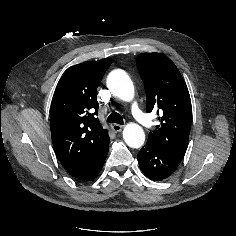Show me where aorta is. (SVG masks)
<instances>
[{
    "label": "aorta",
    "mask_w": 236,
    "mask_h": 236,
    "mask_svg": "<svg viewBox=\"0 0 236 236\" xmlns=\"http://www.w3.org/2000/svg\"><path fill=\"white\" fill-rule=\"evenodd\" d=\"M107 86L120 99L131 101L134 97V85L128 74L116 69L109 73ZM123 139L131 148H140L145 141V133L141 126L135 123L127 124L123 130Z\"/></svg>",
    "instance_id": "obj_1"
}]
</instances>
